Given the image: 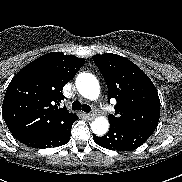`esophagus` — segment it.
<instances>
[{"mask_svg": "<svg viewBox=\"0 0 182 182\" xmlns=\"http://www.w3.org/2000/svg\"><path fill=\"white\" fill-rule=\"evenodd\" d=\"M85 116L89 119V120H92L96 117V115L94 113H88V114H85Z\"/></svg>", "mask_w": 182, "mask_h": 182, "instance_id": "esophagus-1", "label": "esophagus"}]
</instances>
